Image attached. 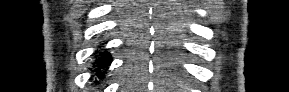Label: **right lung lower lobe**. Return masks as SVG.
Instances as JSON below:
<instances>
[{"label": "right lung lower lobe", "mask_w": 289, "mask_h": 92, "mask_svg": "<svg viewBox=\"0 0 289 92\" xmlns=\"http://www.w3.org/2000/svg\"><path fill=\"white\" fill-rule=\"evenodd\" d=\"M111 62L112 59L110 53L106 51L99 53V55L96 57L95 62L93 63L98 79H102L104 77V70L110 65Z\"/></svg>", "instance_id": "98d812e1"}]
</instances>
